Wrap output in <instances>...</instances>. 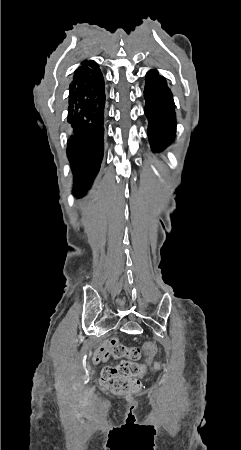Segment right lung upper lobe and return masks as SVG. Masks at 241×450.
Instances as JSON below:
<instances>
[{"label": "right lung upper lobe", "mask_w": 241, "mask_h": 450, "mask_svg": "<svg viewBox=\"0 0 241 450\" xmlns=\"http://www.w3.org/2000/svg\"><path fill=\"white\" fill-rule=\"evenodd\" d=\"M93 61H91V60H89V61H87V60H84L81 64H84V63H92Z\"/></svg>", "instance_id": "cb5924a9"}]
</instances>
